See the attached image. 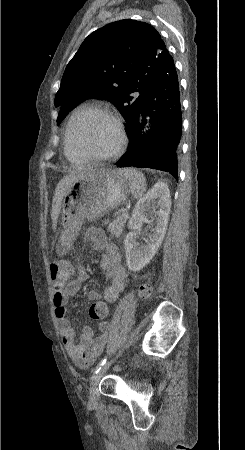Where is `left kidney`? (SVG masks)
Wrapping results in <instances>:
<instances>
[{"mask_svg":"<svg viewBox=\"0 0 245 450\" xmlns=\"http://www.w3.org/2000/svg\"><path fill=\"white\" fill-rule=\"evenodd\" d=\"M171 208L168 186L164 182L156 183L136 204L128 226L131 229L125 238L126 263L130 271H139L148 264L159 249L166 233ZM153 210L156 224L148 242L139 247L138 231L147 213Z\"/></svg>","mask_w":245,"mask_h":450,"instance_id":"obj_1","label":"left kidney"}]
</instances>
